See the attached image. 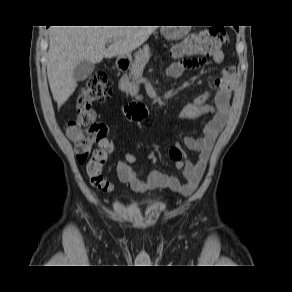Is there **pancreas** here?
<instances>
[{
  "mask_svg": "<svg viewBox=\"0 0 292 292\" xmlns=\"http://www.w3.org/2000/svg\"><path fill=\"white\" fill-rule=\"evenodd\" d=\"M150 58L149 46H144L135 54V60L131 65L129 76H123L120 80V89L126 94L135 96L139 90V79L142 76L143 70ZM133 81L130 82L129 80Z\"/></svg>",
  "mask_w": 292,
  "mask_h": 292,
  "instance_id": "1",
  "label": "pancreas"
}]
</instances>
